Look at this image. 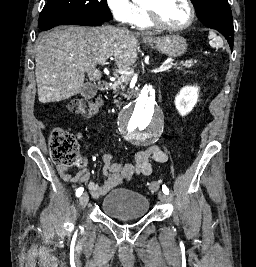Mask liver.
<instances>
[{"mask_svg":"<svg viewBox=\"0 0 256 267\" xmlns=\"http://www.w3.org/2000/svg\"><path fill=\"white\" fill-rule=\"evenodd\" d=\"M138 40L114 26H59L41 38L36 48L35 76L41 104L61 102L80 94L85 72L91 82L101 80L96 66L114 58L118 68H130L138 58Z\"/></svg>","mask_w":256,"mask_h":267,"instance_id":"1","label":"liver"}]
</instances>
